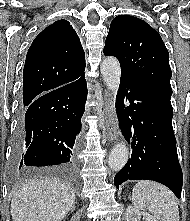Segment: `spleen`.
Segmentation results:
<instances>
[{"instance_id": "1", "label": "spleen", "mask_w": 190, "mask_h": 221, "mask_svg": "<svg viewBox=\"0 0 190 221\" xmlns=\"http://www.w3.org/2000/svg\"><path fill=\"white\" fill-rule=\"evenodd\" d=\"M132 204L138 210H149L159 221H179L174 194L156 182L139 181L132 191Z\"/></svg>"}]
</instances>
